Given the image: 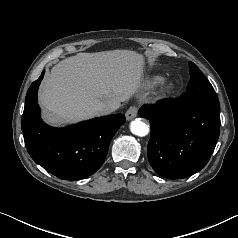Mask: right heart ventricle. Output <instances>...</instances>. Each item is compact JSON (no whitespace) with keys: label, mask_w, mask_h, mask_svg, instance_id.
<instances>
[{"label":"right heart ventricle","mask_w":238,"mask_h":238,"mask_svg":"<svg viewBox=\"0 0 238 238\" xmlns=\"http://www.w3.org/2000/svg\"><path fill=\"white\" fill-rule=\"evenodd\" d=\"M162 80H163V77H161V76H155V77L152 78L151 84L159 83V82H161Z\"/></svg>","instance_id":"right-heart-ventricle-1"}]
</instances>
